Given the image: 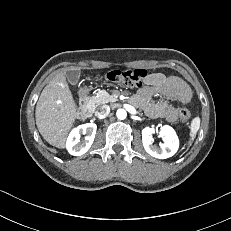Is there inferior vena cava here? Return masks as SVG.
Wrapping results in <instances>:
<instances>
[{
  "label": "inferior vena cava",
  "mask_w": 231,
  "mask_h": 231,
  "mask_svg": "<svg viewBox=\"0 0 231 231\" xmlns=\"http://www.w3.org/2000/svg\"><path fill=\"white\" fill-rule=\"evenodd\" d=\"M110 113V107L108 105H102L97 108L96 115L98 118H105Z\"/></svg>",
  "instance_id": "602c4592"
}]
</instances>
